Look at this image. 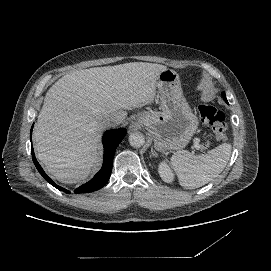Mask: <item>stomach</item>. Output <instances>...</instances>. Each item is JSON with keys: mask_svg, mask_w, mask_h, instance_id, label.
Segmentation results:
<instances>
[{"mask_svg": "<svg viewBox=\"0 0 271 271\" xmlns=\"http://www.w3.org/2000/svg\"><path fill=\"white\" fill-rule=\"evenodd\" d=\"M158 94L163 112L141 111L133 119L144 125L154 140V149L168 152L185 148L193 137L198 119L182 96L175 71L167 69L158 76Z\"/></svg>", "mask_w": 271, "mask_h": 271, "instance_id": "0dacf381", "label": "stomach"}]
</instances>
